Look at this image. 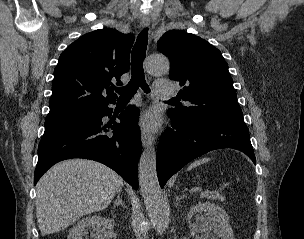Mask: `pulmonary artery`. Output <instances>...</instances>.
Returning <instances> with one entry per match:
<instances>
[{
    "label": "pulmonary artery",
    "mask_w": 304,
    "mask_h": 239,
    "mask_svg": "<svg viewBox=\"0 0 304 239\" xmlns=\"http://www.w3.org/2000/svg\"><path fill=\"white\" fill-rule=\"evenodd\" d=\"M155 94L161 97H169L175 94L174 88L168 81H157L154 84Z\"/></svg>",
    "instance_id": "obj_1"
}]
</instances>
